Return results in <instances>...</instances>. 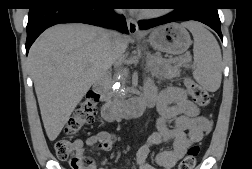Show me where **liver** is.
Returning <instances> with one entry per match:
<instances>
[{
    "mask_svg": "<svg viewBox=\"0 0 252 169\" xmlns=\"http://www.w3.org/2000/svg\"><path fill=\"white\" fill-rule=\"evenodd\" d=\"M109 31L91 25L59 24L31 46L28 60L42 121L54 141L90 87L101 79L128 47L111 48ZM115 52V53H114Z\"/></svg>",
    "mask_w": 252,
    "mask_h": 169,
    "instance_id": "1",
    "label": "liver"
}]
</instances>
